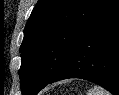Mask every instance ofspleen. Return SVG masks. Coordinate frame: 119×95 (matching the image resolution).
<instances>
[{"label":"spleen","mask_w":119,"mask_h":95,"mask_svg":"<svg viewBox=\"0 0 119 95\" xmlns=\"http://www.w3.org/2000/svg\"><path fill=\"white\" fill-rule=\"evenodd\" d=\"M86 95H110V93L100 86H94L88 90Z\"/></svg>","instance_id":"1"}]
</instances>
